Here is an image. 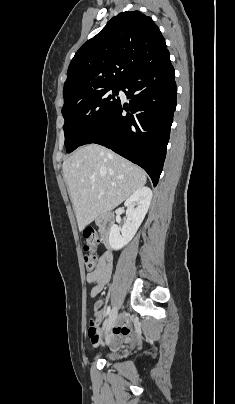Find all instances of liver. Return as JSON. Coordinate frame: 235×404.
Listing matches in <instances>:
<instances>
[{"label":"liver","instance_id":"1","mask_svg":"<svg viewBox=\"0 0 235 404\" xmlns=\"http://www.w3.org/2000/svg\"><path fill=\"white\" fill-rule=\"evenodd\" d=\"M62 170L81 231L96 217L120 205L147 180L143 169L98 144L77 149L63 162Z\"/></svg>","mask_w":235,"mask_h":404}]
</instances>
